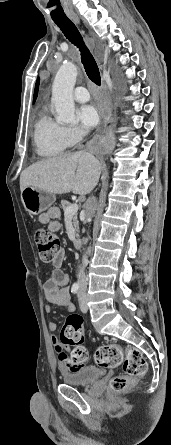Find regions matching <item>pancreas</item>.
<instances>
[{"label":"pancreas","instance_id":"pancreas-1","mask_svg":"<svg viewBox=\"0 0 171 445\" xmlns=\"http://www.w3.org/2000/svg\"><path fill=\"white\" fill-rule=\"evenodd\" d=\"M69 206H71V204L68 202V201H66V200H62L61 201V208L65 211ZM73 225H74V228H75V230H76V236L78 237L79 236V223H78V220H77V215L75 214L74 216H73Z\"/></svg>","mask_w":171,"mask_h":445}]
</instances>
